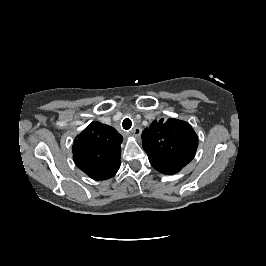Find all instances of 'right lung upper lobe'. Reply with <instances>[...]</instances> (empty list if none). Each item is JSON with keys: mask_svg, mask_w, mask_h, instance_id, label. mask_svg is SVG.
I'll return each instance as SVG.
<instances>
[{"mask_svg": "<svg viewBox=\"0 0 266 266\" xmlns=\"http://www.w3.org/2000/svg\"><path fill=\"white\" fill-rule=\"evenodd\" d=\"M122 141L123 137L115 128L94 121L75 139L73 160L90 178L109 179L120 168Z\"/></svg>", "mask_w": 266, "mask_h": 266, "instance_id": "right-lung-upper-lobe-1", "label": "right lung upper lobe"}]
</instances>
